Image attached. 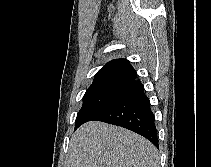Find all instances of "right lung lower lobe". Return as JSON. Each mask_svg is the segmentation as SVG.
I'll list each match as a JSON object with an SVG mask.
<instances>
[{
    "instance_id": "right-lung-lower-lobe-1",
    "label": "right lung lower lobe",
    "mask_w": 211,
    "mask_h": 167,
    "mask_svg": "<svg viewBox=\"0 0 211 167\" xmlns=\"http://www.w3.org/2000/svg\"><path fill=\"white\" fill-rule=\"evenodd\" d=\"M102 121L134 131L158 148L155 117L150 101L140 80H133L131 87L90 121Z\"/></svg>"
}]
</instances>
